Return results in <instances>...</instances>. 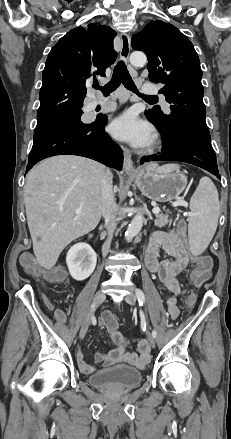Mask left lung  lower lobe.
Returning <instances> with one entry per match:
<instances>
[{
	"label": "left lung lower lobe",
	"instance_id": "1",
	"mask_svg": "<svg viewBox=\"0 0 231 439\" xmlns=\"http://www.w3.org/2000/svg\"><path fill=\"white\" fill-rule=\"evenodd\" d=\"M159 131L163 140L162 151L142 157L140 164L149 161L187 162L221 179L209 132L185 124H174L165 131Z\"/></svg>",
	"mask_w": 231,
	"mask_h": 439
}]
</instances>
